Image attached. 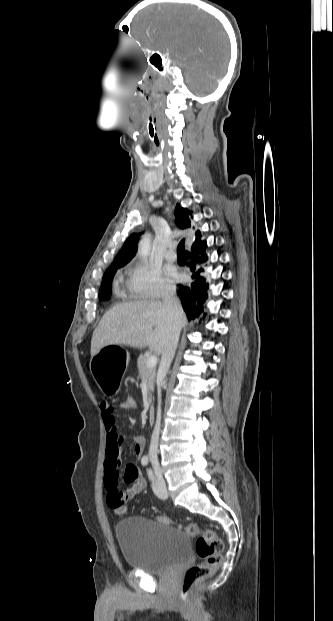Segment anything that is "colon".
Masks as SVG:
<instances>
[{"label": "colon", "mask_w": 333, "mask_h": 621, "mask_svg": "<svg viewBox=\"0 0 333 621\" xmlns=\"http://www.w3.org/2000/svg\"><path fill=\"white\" fill-rule=\"evenodd\" d=\"M120 405L126 411H134L138 407L137 397L134 393L129 392L122 396ZM114 511L119 515L124 514L126 511L125 504L117 505ZM157 520L165 524L171 523V520L165 516H158ZM182 529L188 536L196 538V554L202 559L201 563L190 567L185 573L180 598L186 602L193 584L212 575L219 569L222 562L223 542L214 531L203 529L195 523H187L182 526Z\"/></svg>", "instance_id": "1"}]
</instances>
